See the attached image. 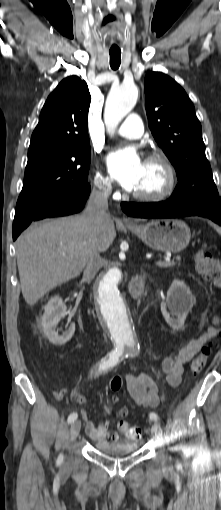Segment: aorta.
<instances>
[{
	"instance_id": "aorta-1",
	"label": "aorta",
	"mask_w": 221,
	"mask_h": 510,
	"mask_svg": "<svg viewBox=\"0 0 221 510\" xmlns=\"http://www.w3.org/2000/svg\"><path fill=\"white\" fill-rule=\"evenodd\" d=\"M138 88L134 84H122L113 88L106 100L104 121L107 129L113 130L134 108ZM123 274L118 267L109 269L96 286L98 310L116 348L134 350L138 339L134 321L122 291Z\"/></svg>"
}]
</instances>
